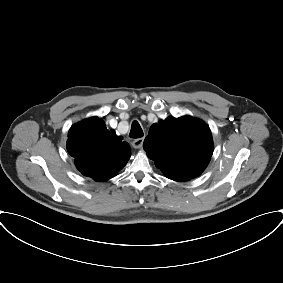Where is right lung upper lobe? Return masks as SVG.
Here are the masks:
<instances>
[{"label":"right lung upper lobe","mask_w":283,"mask_h":283,"mask_svg":"<svg viewBox=\"0 0 283 283\" xmlns=\"http://www.w3.org/2000/svg\"><path fill=\"white\" fill-rule=\"evenodd\" d=\"M67 151L74 157L77 169L95 181L116 176L131 156L129 144L107 130L98 117L83 120L70 128Z\"/></svg>","instance_id":"cb5924a9"}]
</instances>
